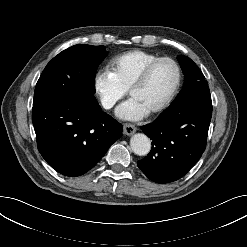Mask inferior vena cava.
I'll return each instance as SVG.
<instances>
[{
	"mask_svg": "<svg viewBox=\"0 0 247 247\" xmlns=\"http://www.w3.org/2000/svg\"><path fill=\"white\" fill-rule=\"evenodd\" d=\"M114 105L113 102H105L103 103L104 108L109 109Z\"/></svg>",
	"mask_w": 247,
	"mask_h": 247,
	"instance_id": "602c4592",
	"label": "inferior vena cava"
}]
</instances>
